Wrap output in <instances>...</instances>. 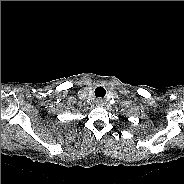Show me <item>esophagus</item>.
<instances>
[{
	"label": "esophagus",
	"mask_w": 184,
	"mask_h": 184,
	"mask_svg": "<svg viewBox=\"0 0 184 184\" xmlns=\"http://www.w3.org/2000/svg\"><path fill=\"white\" fill-rule=\"evenodd\" d=\"M96 104L99 105V106L102 105L103 104V100L102 99H97Z\"/></svg>",
	"instance_id": "34e87169"
}]
</instances>
